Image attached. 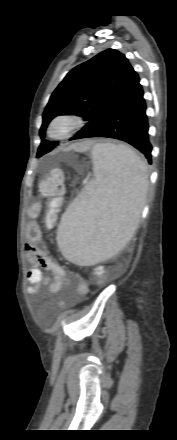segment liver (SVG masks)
I'll return each mask as SVG.
<instances>
[{
	"mask_svg": "<svg viewBox=\"0 0 177 440\" xmlns=\"http://www.w3.org/2000/svg\"><path fill=\"white\" fill-rule=\"evenodd\" d=\"M91 145H92V142L85 141V142L73 145L71 148L74 149L75 151H84V150L89 149Z\"/></svg>",
	"mask_w": 177,
	"mask_h": 440,
	"instance_id": "1",
	"label": "liver"
}]
</instances>
